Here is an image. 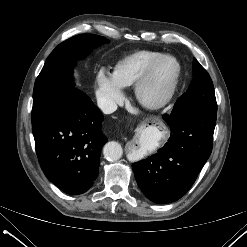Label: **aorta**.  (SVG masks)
<instances>
[{
    "mask_svg": "<svg viewBox=\"0 0 247 247\" xmlns=\"http://www.w3.org/2000/svg\"><path fill=\"white\" fill-rule=\"evenodd\" d=\"M103 154L109 161H117L122 157L123 149L118 142L111 141L105 144Z\"/></svg>",
    "mask_w": 247,
    "mask_h": 247,
    "instance_id": "1",
    "label": "aorta"
}]
</instances>
